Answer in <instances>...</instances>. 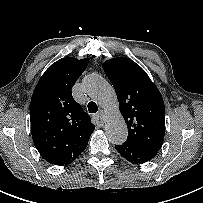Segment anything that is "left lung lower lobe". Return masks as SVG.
<instances>
[{
	"mask_svg": "<svg viewBox=\"0 0 203 203\" xmlns=\"http://www.w3.org/2000/svg\"><path fill=\"white\" fill-rule=\"evenodd\" d=\"M115 148L125 159L135 164L147 162L156 155L128 142L116 145Z\"/></svg>",
	"mask_w": 203,
	"mask_h": 203,
	"instance_id": "obj_1",
	"label": "left lung lower lobe"
}]
</instances>
